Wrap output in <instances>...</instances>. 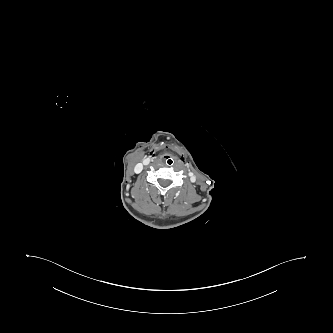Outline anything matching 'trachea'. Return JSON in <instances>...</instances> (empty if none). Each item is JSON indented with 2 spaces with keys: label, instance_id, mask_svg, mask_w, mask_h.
<instances>
[{
  "label": "trachea",
  "instance_id": "trachea-1",
  "mask_svg": "<svg viewBox=\"0 0 333 333\" xmlns=\"http://www.w3.org/2000/svg\"><path fill=\"white\" fill-rule=\"evenodd\" d=\"M160 162L163 166L171 168L175 165L176 160L173 156L165 154L161 157Z\"/></svg>",
  "mask_w": 333,
  "mask_h": 333
}]
</instances>
